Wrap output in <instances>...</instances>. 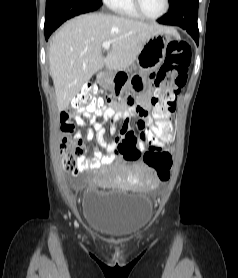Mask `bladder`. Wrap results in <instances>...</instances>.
Listing matches in <instances>:
<instances>
[{
  "instance_id": "bladder-1",
  "label": "bladder",
  "mask_w": 238,
  "mask_h": 278,
  "mask_svg": "<svg viewBox=\"0 0 238 278\" xmlns=\"http://www.w3.org/2000/svg\"><path fill=\"white\" fill-rule=\"evenodd\" d=\"M85 197L83 219L91 230L115 239L132 237L146 228L153 216L148 197L122 189L95 190Z\"/></svg>"
}]
</instances>
